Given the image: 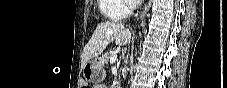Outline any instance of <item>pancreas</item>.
<instances>
[{
    "mask_svg": "<svg viewBox=\"0 0 227 88\" xmlns=\"http://www.w3.org/2000/svg\"><path fill=\"white\" fill-rule=\"evenodd\" d=\"M113 54L109 53V52H106L104 53V55L102 56L103 60L105 63H108L110 61V57L112 56Z\"/></svg>",
    "mask_w": 227,
    "mask_h": 88,
    "instance_id": "1",
    "label": "pancreas"
}]
</instances>
